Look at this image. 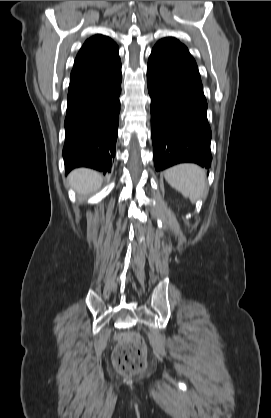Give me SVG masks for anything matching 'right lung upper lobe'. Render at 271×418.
Wrapping results in <instances>:
<instances>
[{"mask_svg":"<svg viewBox=\"0 0 271 418\" xmlns=\"http://www.w3.org/2000/svg\"><path fill=\"white\" fill-rule=\"evenodd\" d=\"M118 60V46L112 39L100 34L87 39L76 56L69 90L90 80Z\"/></svg>","mask_w":271,"mask_h":418,"instance_id":"1","label":"right lung upper lobe"}]
</instances>
